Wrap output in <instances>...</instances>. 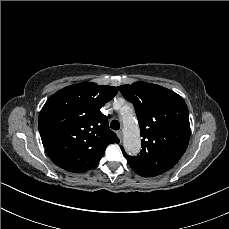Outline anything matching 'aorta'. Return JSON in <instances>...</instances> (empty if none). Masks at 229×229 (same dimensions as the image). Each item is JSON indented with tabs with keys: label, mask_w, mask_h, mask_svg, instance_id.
Returning a JSON list of instances; mask_svg holds the SVG:
<instances>
[{
	"label": "aorta",
	"mask_w": 229,
	"mask_h": 229,
	"mask_svg": "<svg viewBox=\"0 0 229 229\" xmlns=\"http://www.w3.org/2000/svg\"><path fill=\"white\" fill-rule=\"evenodd\" d=\"M122 113L124 125L123 145L127 153L136 155L141 149L140 130L132 117L131 111L122 110Z\"/></svg>",
	"instance_id": "aorta-1"
}]
</instances>
